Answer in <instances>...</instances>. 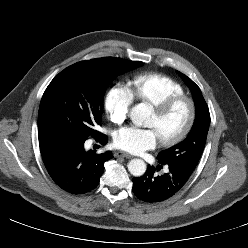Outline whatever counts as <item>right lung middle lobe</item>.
Here are the masks:
<instances>
[{"label": "right lung middle lobe", "mask_w": 248, "mask_h": 248, "mask_svg": "<svg viewBox=\"0 0 248 248\" xmlns=\"http://www.w3.org/2000/svg\"><path fill=\"white\" fill-rule=\"evenodd\" d=\"M142 62L106 57L81 61L60 72L41 99L38 135L66 134L87 139L101 125L103 95L118 75Z\"/></svg>", "instance_id": "obj_1"}]
</instances>
